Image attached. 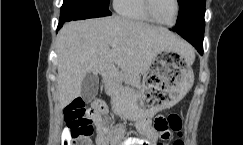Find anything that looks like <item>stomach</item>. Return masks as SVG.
I'll return each mask as SVG.
<instances>
[{
	"label": "stomach",
	"mask_w": 243,
	"mask_h": 145,
	"mask_svg": "<svg viewBox=\"0 0 243 145\" xmlns=\"http://www.w3.org/2000/svg\"><path fill=\"white\" fill-rule=\"evenodd\" d=\"M193 61L192 50L183 53L166 51L143 73L140 94H119V86L108 79L106 86L113 94L112 103L124 106L119 110L131 120L155 116L159 110L178 103L189 91L194 82Z\"/></svg>",
	"instance_id": "0dacf381"
}]
</instances>
